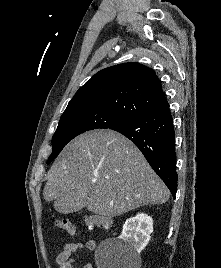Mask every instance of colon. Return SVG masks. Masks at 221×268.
Instances as JSON below:
<instances>
[{
	"instance_id": "5ec220e1",
	"label": "colon",
	"mask_w": 221,
	"mask_h": 268,
	"mask_svg": "<svg viewBox=\"0 0 221 268\" xmlns=\"http://www.w3.org/2000/svg\"><path fill=\"white\" fill-rule=\"evenodd\" d=\"M55 224L61 230L74 235L76 233V226L68 219H57ZM85 224L89 230L95 228L110 229L112 227V221L110 218L102 215H91L85 218Z\"/></svg>"
}]
</instances>
